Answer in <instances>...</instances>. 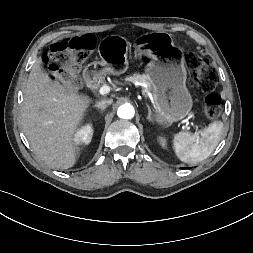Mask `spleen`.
I'll return each instance as SVG.
<instances>
[{
  "instance_id": "obj_1",
  "label": "spleen",
  "mask_w": 253,
  "mask_h": 253,
  "mask_svg": "<svg viewBox=\"0 0 253 253\" xmlns=\"http://www.w3.org/2000/svg\"><path fill=\"white\" fill-rule=\"evenodd\" d=\"M223 123L215 121L199 133L179 132L174 136L173 148L182 162L196 165L208 158L217 147Z\"/></svg>"
}]
</instances>
